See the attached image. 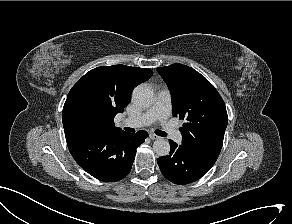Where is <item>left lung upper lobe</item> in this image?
<instances>
[{"mask_svg": "<svg viewBox=\"0 0 292 224\" xmlns=\"http://www.w3.org/2000/svg\"><path fill=\"white\" fill-rule=\"evenodd\" d=\"M157 71L171 92L173 115L185 120L180 128L182 146L215 163L228 123L222 97L191 67L177 63Z\"/></svg>", "mask_w": 292, "mask_h": 224, "instance_id": "1", "label": "left lung upper lobe"}]
</instances>
